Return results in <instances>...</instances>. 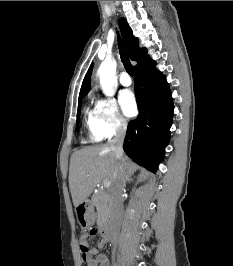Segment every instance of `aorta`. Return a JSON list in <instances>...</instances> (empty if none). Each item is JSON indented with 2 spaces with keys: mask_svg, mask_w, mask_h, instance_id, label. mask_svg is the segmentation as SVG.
I'll list each match as a JSON object with an SVG mask.
<instances>
[{
  "mask_svg": "<svg viewBox=\"0 0 233 266\" xmlns=\"http://www.w3.org/2000/svg\"><path fill=\"white\" fill-rule=\"evenodd\" d=\"M116 68L117 62L114 58L105 59L98 68L102 91L108 97H112L117 91Z\"/></svg>",
  "mask_w": 233,
  "mask_h": 266,
  "instance_id": "obj_1",
  "label": "aorta"
}]
</instances>
